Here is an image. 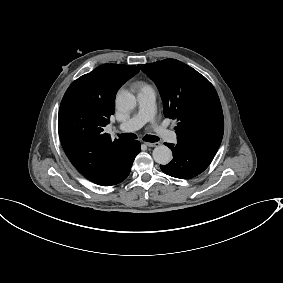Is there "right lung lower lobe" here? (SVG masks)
Wrapping results in <instances>:
<instances>
[{"mask_svg":"<svg viewBox=\"0 0 283 283\" xmlns=\"http://www.w3.org/2000/svg\"><path fill=\"white\" fill-rule=\"evenodd\" d=\"M130 146L131 148L128 157L118 168L110 171L101 178L93 180L92 182L101 186H110V185L118 184L122 182L124 179H126L130 173L132 163L135 157L140 152V142L132 141Z\"/></svg>","mask_w":283,"mask_h":283,"instance_id":"right-lung-lower-lobe-1","label":"right lung lower lobe"}]
</instances>
